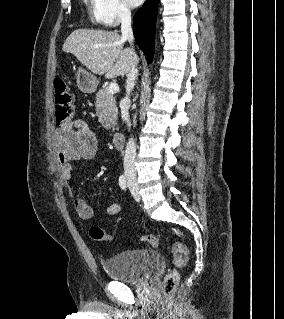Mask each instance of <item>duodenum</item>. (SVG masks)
Returning <instances> with one entry per match:
<instances>
[{"label":"duodenum","instance_id":"duodenum-1","mask_svg":"<svg viewBox=\"0 0 284 319\" xmlns=\"http://www.w3.org/2000/svg\"><path fill=\"white\" fill-rule=\"evenodd\" d=\"M113 144L117 149H122L125 143V137L122 133L116 132L113 134Z\"/></svg>","mask_w":284,"mask_h":319}]
</instances>
